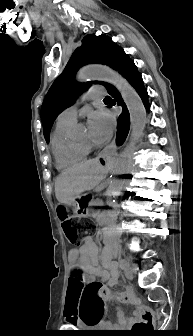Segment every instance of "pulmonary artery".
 <instances>
[{
	"label": "pulmonary artery",
	"instance_id": "obj_1",
	"mask_svg": "<svg viewBox=\"0 0 193 336\" xmlns=\"http://www.w3.org/2000/svg\"><path fill=\"white\" fill-rule=\"evenodd\" d=\"M107 95L106 90L103 87H92L88 91L86 97L88 99H97L102 98ZM77 119V108L75 106H71L65 109L58 117L57 124L58 125H66V124H74Z\"/></svg>",
	"mask_w": 193,
	"mask_h": 336
}]
</instances>
